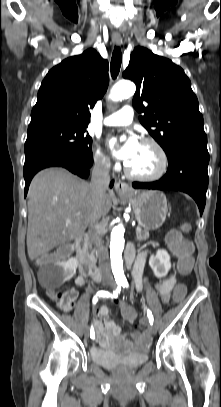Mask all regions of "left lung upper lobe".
I'll list each match as a JSON object with an SVG mask.
<instances>
[{
	"mask_svg": "<svg viewBox=\"0 0 221 407\" xmlns=\"http://www.w3.org/2000/svg\"><path fill=\"white\" fill-rule=\"evenodd\" d=\"M123 77L136 83L133 106L145 114L141 124L166 154L181 138L206 137L190 80L171 60L136 47Z\"/></svg>",
	"mask_w": 221,
	"mask_h": 407,
	"instance_id": "1",
	"label": "left lung upper lobe"
}]
</instances>
